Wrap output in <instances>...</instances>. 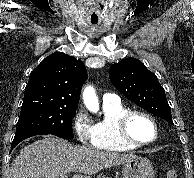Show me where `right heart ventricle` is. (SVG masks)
<instances>
[{
    "mask_svg": "<svg viewBox=\"0 0 194 178\" xmlns=\"http://www.w3.org/2000/svg\"><path fill=\"white\" fill-rule=\"evenodd\" d=\"M126 110L119 100L103 102L104 117L93 125L95 148L111 151H128L136 148L122 142L117 134L116 120Z\"/></svg>",
    "mask_w": 194,
    "mask_h": 178,
    "instance_id": "obj_1",
    "label": "right heart ventricle"
}]
</instances>
